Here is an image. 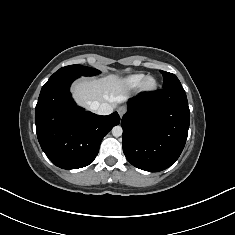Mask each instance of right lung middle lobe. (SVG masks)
Returning <instances> with one entry per match:
<instances>
[{
	"label": "right lung middle lobe",
	"instance_id": "right-lung-middle-lobe-1",
	"mask_svg": "<svg viewBox=\"0 0 235 235\" xmlns=\"http://www.w3.org/2000/svg\"><path fill=\"white\" fill-rule=\"evenodd\" d=\"M98 73L99 71L94 68H90V67H86L82 65H69V66L60 68L50 78H54L58 76H71V75H74L77 77L92 76Z\"/></svg>",
	"mask_w": 235,
	"mask_h": 235
}]
</instances>
